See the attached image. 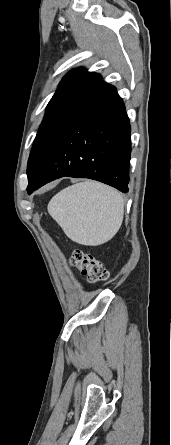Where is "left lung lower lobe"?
I'll use <instances>...</instances> for the list:
<instances>
[{
  "mask_svg": "<svg viewBox=\"0 0 171 445\" xmlns=\"http://www.w3.org/2000/svg\"><path fill=\"white\" fill-rule=\"evenodd\" d=\"M130 124L115 91L95 105L62 137L34 178L28 193L57 178H90L128 192Z\"/></svg>",
  "mask_w": 171,
  "mask_h": 445,
  "instance_id": "left-lung-lower-lobe-1",
  "label": "left lung lower lobe"
}]
</instances>
